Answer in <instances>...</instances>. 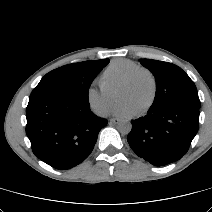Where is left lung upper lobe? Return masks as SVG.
I'll use <instances>...</instances> for the list:
<instances>
[{
  "mask_svg": "<svg viewBox=\"0 0 212 212\" xmlns=\"http://www.w3.org/2000/svg\"><path fill=\"white\" fill-rule=\"evenodd\" d=\"M140 63L156 78L153 106L184 103L200 108L196 86L180 67L152 59H141Z\"/></svg>",
  "mask_w": 212,
  "mask_h": 212,
  "instance_id": "1",
  "label": "left lung upper lobe"
}]
</instances>
